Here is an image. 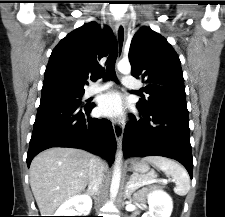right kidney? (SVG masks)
<instances>
[{
	"instance_id": "1",
	"label": "right kidney",
	"mask_w": 225,
	"mask_h": 217,
	"mask_svg": "<svg viewBox=\"0 0 225 217\" xmlns=\"http://www.w3.org/2000/svg\"><path fill=\"white\" fill-rule=\"evenodd\" d=\"M92 208V200L88 195L75 196L64 202L55 216H86Z\"/></svg>"
}]
</instances>
